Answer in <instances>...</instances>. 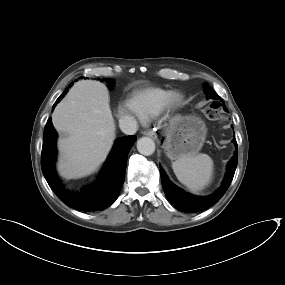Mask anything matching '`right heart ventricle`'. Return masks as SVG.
<instances>
[{
	"label": "right heart ventricle",
	"mask_w": 285,
	"mask_h": 285,
	"mask_svg": "<svg viewBox=\"0 0 285 285\" xmlns=\"http://www.w3.org/2000/svg\"><path fill=\"white\" fill-rule=\"evenodd\" d=\"M170 91L161 88H145L133 91L127 105L144 119L158 116L166 107Z\"/></svg>",
	"instance_id": "obj_1"
}]
</instances>
